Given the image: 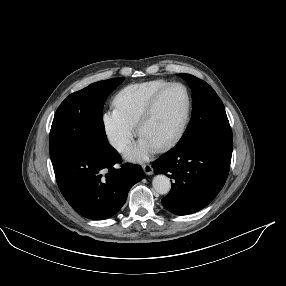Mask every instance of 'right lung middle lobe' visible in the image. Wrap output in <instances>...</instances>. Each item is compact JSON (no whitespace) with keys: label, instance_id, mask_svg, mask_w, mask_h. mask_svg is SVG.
<instances>
[{"label":"right lung middle lobe","instance_id":"1","mask_svg":"<svg viewBox=\"0 0 286 286\" xmlns=\"http://www.w3.org/2000/svg\"><path fill=\"white\" fill-rule=\"evenodd\" d=\"M123 80L121 77L90 84L60 104L49 136L52 162L77 150H89L103 157L116 154L106 138L102 109L108 94Z\"/></svg>","mask_w":286,"mask_h":286}]
</instances>
